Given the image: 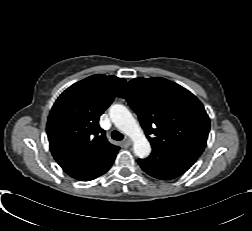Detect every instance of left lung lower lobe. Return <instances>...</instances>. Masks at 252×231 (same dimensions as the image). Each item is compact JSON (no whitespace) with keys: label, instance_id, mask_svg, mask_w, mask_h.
I'll return each instance as SVG.
<instances>
[{"label":"left lung lower lobe","instance_id":"0a47b994","mask_svg":"<svg viewBox=\"0 0 252 231\" xmlns=\"http://www.w3.org/2000/svg\"><path fill=\"white\" fill-rule=\"evenodd\" d=\"M200 154L180 148L154 147L146 159H139L141 168L152 177L168 180L185 173L198 159Z\"/></svg>","mask_w":252,"mask_h":231}]
</instances>
